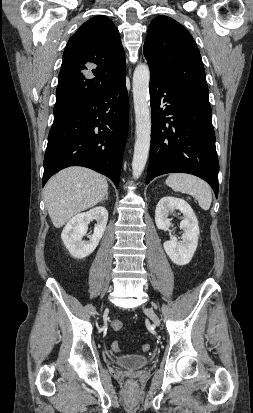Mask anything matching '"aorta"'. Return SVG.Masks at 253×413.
I'll use <instances>...</instances> for the list:
<instances>
[{
    "label": "aorta",
    "mask_w": 253,
    "mask_h": 413,
    "mask_svg": "<svg viewBox=\"0 0 253 413\" xmlns=\"http://www.w3.org/2000/svg\"><path fill=\"white\" fill-rule=\"evenodd\" d=\"M150 69L138 64L133 74V101L136 122V140L132 160V173L139 178L145 168L151 142V113L149 97Z\"/></svg>",
    "instance_id": "aorta-1"
}]
</instances>
